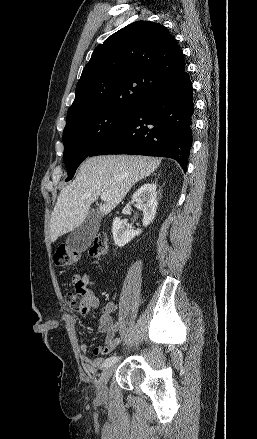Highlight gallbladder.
<instances>
[{"label":"gallbladder","instance_id":"1","mask_svg":"<svg viewBox=\"0 0 257 439\" xmlns=\"http://www.w3.org/2000/svg\"><path fill=\"white\" fill-rule=\"evenodd\" d=\"M100 220V213L91 210L84 222L69 234L66 239L67 246L78 252L87 250L99 229Z\"/></svg>","mask_w":257,"mask_h":439}]
</instances>
